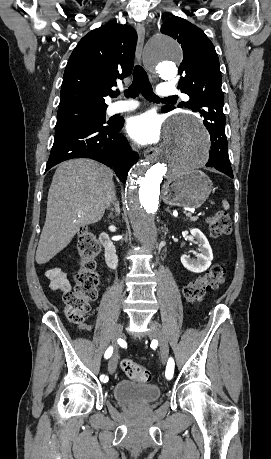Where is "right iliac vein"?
<instances>
[{
    "label": "right iliac vein",
    "instance_id": "63e3f726",
    "mask_svg": "<svg viewBox=\"0 0 271 459\" xmlns=\"http://www.w3.org/2000/svg\"><path fill=\"white\" fill-rule=\"evenodd\" d=\"M122 329H123V326L120 323L115 326L114 333H113L114 342H115V339L121 337ZM117 364H118V356L116 353H114L108 363V370L110 374L115 373Z\"/></svg>",
    "mask_w": 271,
    "mask_h": 459
}]
</instances>
